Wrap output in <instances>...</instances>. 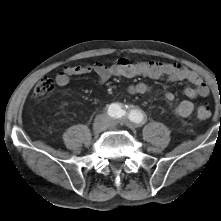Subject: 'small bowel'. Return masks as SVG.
<instances>
[{
  "label": "small bowel",
  "mask_w": 221,
  "mask_h": 221,
  "mask_svg": "<svg viewBox=\"0 0 221 221\" xmlns=\"http://www.w3.org/2000/svg\"><path fill=\"white\" fill-rule=\"evenodd\" d=\"M94 74L99 83H105L110 78L119 76L132 78L145 76L152 79L166 77L169 81H187L190 86L184 89L186 100L179 102L174 107V112L179 117L190 116L195 109L194 100L198 97H207L210 90L203 78L196 72L180 64L161 63L156 61H131L126 57H119L110 64L94 62L92 64H79L65 66L55 77L58 86H67L74 76ZM152 89L144 83L131 84L126 88L130 96L149 93ZM166 102L171 105L175 95L170 91L163 93Z\"/></svg>",
  "instance_id": "obj_1"
}]
</instances>
